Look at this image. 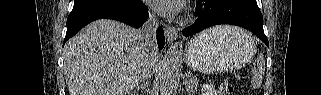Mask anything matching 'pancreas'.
Listing matches in <instances>:
<instances>
[{"label": "pancreas", "mask_w": 321, "mask_h": 95, "mask_svg": "<svg viewBox=\"0 0 321 95\" xmlns=\"http://www.w3.org/2000/svg\"><path fill=\"white\" fill-rule=\"evenodd\" d=\"M184 84L186 85V89L189 93V95L192 93H195L198 88V80L197 78L192 74H187L186 78L184 79Z\"/></svg>", "instance_id": "obj_1"}]
</instances>
